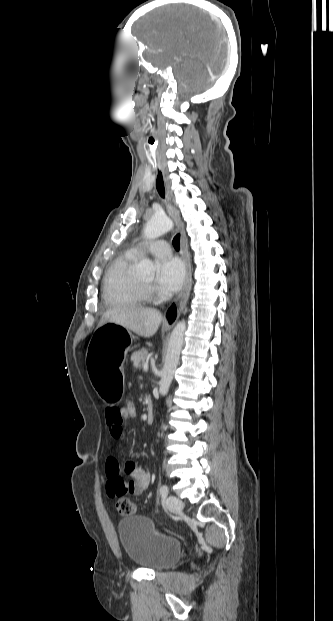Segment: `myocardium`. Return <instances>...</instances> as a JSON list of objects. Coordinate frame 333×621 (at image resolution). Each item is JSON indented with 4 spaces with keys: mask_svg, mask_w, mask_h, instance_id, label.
<instances>
[{
    "mask_svg": "<svg viewBox=\"0 0 333 621\" xmlns=\"http://www.w3.org/2000/svg\"><path fill=\"white\" fill-rule=\"evenodd\" d=\"M144 289L150 294L152 293V287L148 284H143Z\"/></svg>",
    "mask_w": 333,
    "mask_h": 621,
    "instance_id": "1",
    "label": "myocardium"
}]
</instances>
